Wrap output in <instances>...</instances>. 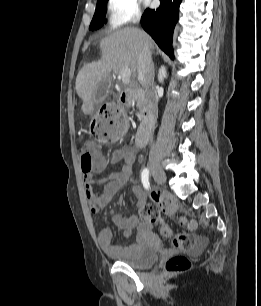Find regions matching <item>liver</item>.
Masks as SVG:
<instances>
[{
	"label": "liver",
	"mask_w": 261,
	"mask_h": 306,
	"mask_svg": "<svg viewBox=\"0 0 261 306\" xmlns=\"http://www.w3.org/2000/svg\"><path fill=\"white\" fill-rule=\"evenodd\" d=\"M144 46L151 50L154 42L146 32L135 27L121 29L100 41L101 60L84 65L76 78V91L83 101L84 114L93 113L94 92L111 72L119 74L123 68H130L136 76L138 55Z\"/></svg>",
	"instance_id": "6515ba94"
}]
</instances>
